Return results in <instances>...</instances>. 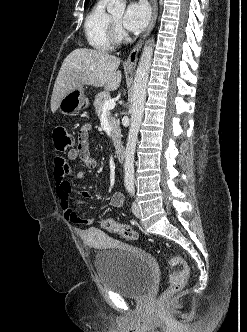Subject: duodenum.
Listing matches in <instances>:
<instances>
[{
  "mask_svg": "<svg viewBox=\"0 0 247 332\" xmlns=\"http://www.w3.org/2000/svg\"><path fill=\"white\" fill-rule=\"evenodd\" d=\"M115 153L119 161H123L125 159V148L123 145L121 144L117 145Z\"/></svg>",
  "mask_w": 247,
  "mask_h": 332,
  "instance_id": "1",
  "label": "duodenum"
}]
</instances>
